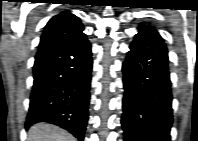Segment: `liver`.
Here are the masks:
<instances>
[{"label":"liver","mask_w":198,"mask_h":141,"mask_svg":"<svg viewBox=\"0 0 198 141\" xmlns=\"http://www.w3.org/2000/svg\"><path fill=\"white\" fill-rule=\"evenodd\" d=\"M27 141H76L63 129L48 123L33 125L28 131Z\"/></svg>","instance_id":"obj_1"}]
</instances>
